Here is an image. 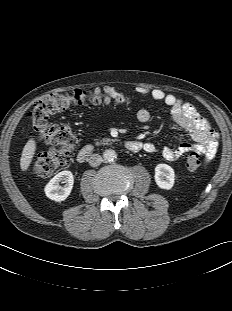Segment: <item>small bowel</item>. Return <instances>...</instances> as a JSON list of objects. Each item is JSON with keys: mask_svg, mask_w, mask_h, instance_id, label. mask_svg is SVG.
<instances>
[{"mask_svg": "<svg viewBox=\"0 0 232 311\" xmlns=\"http://www.w3.org/2000/svg\"><path fill=\"white\" fill-rule=\"evenodd\" d=\"M137 93L167 105L170 109L171 120L184 129L193 141L192 143L181 141L176 147L164 146L161 154L166 160L173 161L188 153L203 155L206 163L213 158L217 150V133L212 130L208 121L192 104L183 102L175 95L158 88L142 86L137 88ZM150 119L149 110L140 109L137 112V120L140 123H147ZM144 150L153 153L156 148L153 144L146 143Z\"/></svg>", "mask_w": 232, "mask_h": 311, "instance_id": "obj_1", "label": "small bowel"}]
</instances>
